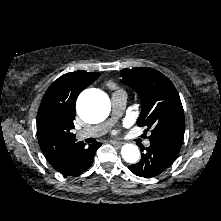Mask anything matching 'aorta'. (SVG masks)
Listing matches in <instances>:
<instances>
[{"instance_id": "aorta-1", "label": "aorta", "mask_w": 221, "mask_h": 221, "mask_svg": "<svg viewBox=\"0 0 221 221\" xmlns=\"http://www.w3.org/2000/svg\"><path fill=\"white\" fill-rule=\"evenodd\" d=\"M77 112L86 122L103 120L109 112V101L100 93L83 94L77 101ZM122 158L128 163H136L140 152L136 145L127 143L121 149Z\"/></svg>"}]
</instances>
